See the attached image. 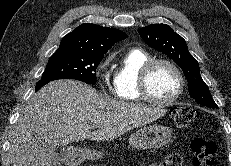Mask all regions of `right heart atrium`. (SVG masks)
Returning a JSON list of instances; mask_svg holds the SVG:
<instances>
[{"label": "right heart atrium", "instance_id": "d8ad5b80", "mask_svg": "<svg viewBox=\"0 0 231 166\" xmlns=\"http://www.w3.org/2000/svg\"><path fill=\"white\" fill-rule=\"evenodd\" d=\"M109 63H110V57L108 56L103 60V62L100 65V72L102 74H105L107 72V67H108Z\"/></svg>", "mask_w": 231, "mask_h": 166}]
</instances>
